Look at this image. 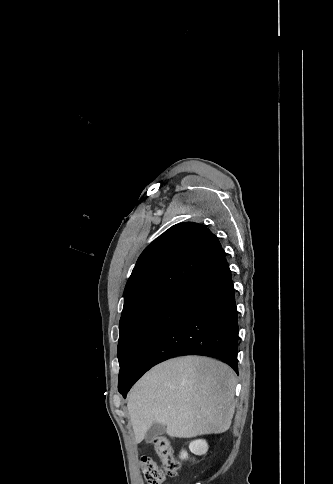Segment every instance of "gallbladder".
<instances>
[{
  "label": "gallbladder",
  "instance_id": "1",
  "mask_svg": "<svg viewBox=\"0 0 333 484\" xmlns=\"http://www.w3.org/2000/svg\"><path fill=\"white\" fill-rule=\"evenodd\" d=\"M166 432V426L160 423H153L145 434V440L151 443L156 437Z\"/></svg>",
  "mask_w": 333,
  "mask_h": 484
}]
</instances>
